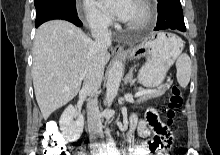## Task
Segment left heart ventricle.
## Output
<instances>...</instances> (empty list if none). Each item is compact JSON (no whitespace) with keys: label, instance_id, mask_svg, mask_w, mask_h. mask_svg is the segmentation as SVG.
I'll use <instances>...</instances> for the list:
<instances>
[{"label":"left heart ventricle","instance_id":"left-heart-ventricle-1","mask_svg":"<svg viewBox=\"0 0 220 155\" xmlns=\"http://www.w3.org/2000/svg\"><path fill=\"white\" fill-rule=\"evenodd\" d=\"M144 16V10L142 9V7L137 4L135 1L133 2L130 14L127 18V22H138L140 20H142Z\"/></svg>","mask_w":220,"mask_h":155}]
</instances>
